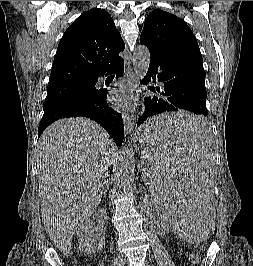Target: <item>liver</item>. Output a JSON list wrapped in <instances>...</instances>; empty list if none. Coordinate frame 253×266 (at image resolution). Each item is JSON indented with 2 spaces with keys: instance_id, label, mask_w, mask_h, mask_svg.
<instances>
[{
  "instance_id": "obj_1",
  "label": "liver",
  "mask_w": 253,
  "mask_h": 266,
  "mask_svg": "<svg viewBox=\"0 0 253 266\" xmlns=\"http://www.w3.org/2000/svg\"><path fill=\"white\" fill-rule=\"evenodd\" d=\"M117 148L108 133L86 118L51 124L37 145L42 221L65 255L72 238L101 202Z\"/></svg>"
}]
</instances>
